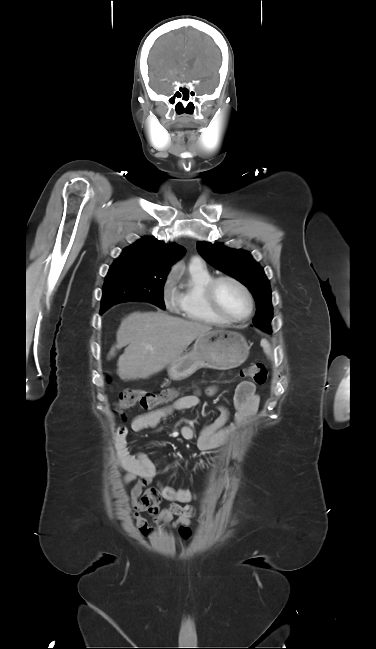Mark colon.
<instances>
[{
  "mask_svg": "<svg viewBox=\"0 0 376 649\" xmlns=\"http://www.w3.org/2000/svg\"><path fill=\"white\" fill-rule=\"evenodd\" d=\"M244 375L252 378L258 385H265L268 379V371L263 363H254L248 366ZM177 394L174 389H165L160 392L144 391L139 389H124L120 392L118 401L115 403V410L122 413L135 405L150 409L158 405L173 401Z\"/></svg>",
  "mask_w": 376,
  "mask_h": 649,
  "instance_id": "1",
  "label": "colon"
}]
</instances>
